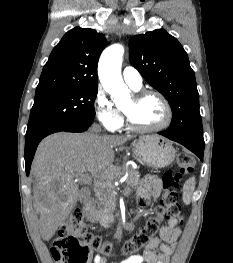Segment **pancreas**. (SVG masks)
I'll use <instances>...</instances> for the list:
<instances>
[{
    "label": "pancreas",
    "instance_id": "cf45deb5",
    "mask_svg": "<svg viewBox=\"0 0 233 263\" xmlns=\"http://www.w3.org/2000/svg\"><path fill=\"white\" fill-rule=\"evenodd\" d=\"M140 181V175L135 170H129L126 180L127 187L124 194L130 193L131 189L136 188ZM116 207L115 196L112 193L104 192L99 196L97 206L90 212V220L99 222L103 227H109L114 222V211Z\"/></svg>",
    "mask_w": 233,
    "mask_h": 263
}]
</instances>
